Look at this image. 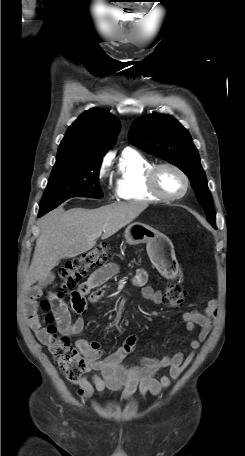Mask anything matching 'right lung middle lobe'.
I'll list each match as a JSON object with an SVG mask.
<instances>
[{"label": "right lung middle lobe", "mask_w": 245, "mask_h": 456, "mask_svg": "<svg viewBox=\"0 0 245 456\" xmlns=\"http://www.w3.org/2000/svg\"><path fill=\"white\" fill-rule=\"evenodd\" d=\"M102 159L68 160L54 165L39 213L45 214L72 197H102L99 169Z\"/></svg>", "instance_id": "1"}]
</instances>
